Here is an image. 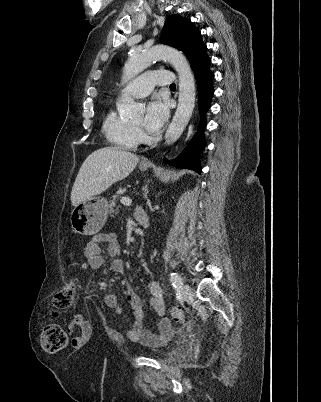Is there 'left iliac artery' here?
Returning a JSON list of instances; mask_svg holds the SVG:
<instances>
[{
	"label": "left iliac artery",
	"mask_w": 321,
	"mask_h": 402,
	"mask_svg": "<svg viewBox=\"0 0 321 402\" xmlns=\"http://www.w3.org/2000/svg\"><path fill=\"white\" fill-rule=\"evenodd\" d=\"M172 285L175 289H180L182 287V278L178 273H171V278H170Z\"/></svg>",
	"instance_id": "1"
}]
</instances>
